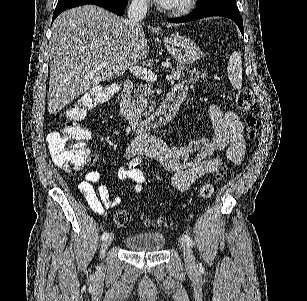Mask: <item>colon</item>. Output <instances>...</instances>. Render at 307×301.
<instances>
[{
    "label": "colon",
    "instance_id": "colon-1",
    "mask_svg": "<svg viewBox=\"0 0 307 301\" xmlns=\"http://www.w3.org/2000/svg\"><path fill=\"white\" fill-rule=\"evenodd\" d=\"M116 93L117 87L115 85L96 86L82 94L66 108L64 115L67 121L64 128L50 134L47 138L49 151L59 166L75 173L95 163L96 157L86 147L89 141V132L80 121L87 116L89 111L108 102ZM236 106L240 111L248 113L246 116L248 136L250 139L255 138L258 120L251 111L256 107V100L250 89L243 88L238 92ZM218 178H220L219 174L216 175V179ZM213 192V182L207 181L200 187L199 195L201 198L207 199L213 195ZM112 218L116 225L122 227L129 226L132 222L130 214L123 209L116 210ZM143 224L158 227L167 225L168 221L165 218H158Z\"/></svg>",
    "mask_w": 307,
    "mask_h": 301
}]
</instances>
